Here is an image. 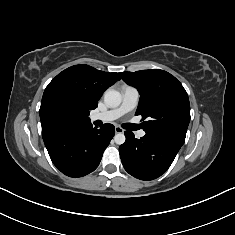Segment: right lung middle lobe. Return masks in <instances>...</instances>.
I'll use <instances>...</instances> for the list:
<instances>
[{
  "label": "right lung middle lobe",
  "instance_id": "dd1d6c3e",
  "mask_svg": "<svg viewBox=\"0 0 235 235\" xmlns=\"http://www.w3.org/2000/svg\"><path fill=\"white\" fill-rule=\"evenodd\" d=\"M46 121L52 128L70 124L72 121V110L62 100L53 99L46 110Z\"/></svg>",
  "mask_w": 235,
  "mask_h": 235
}]
</instances>
